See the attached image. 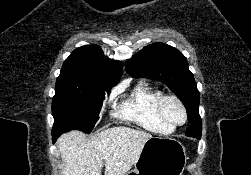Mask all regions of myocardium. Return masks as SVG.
Segmentation results:
<instances>
[{"label": "myocardium", "instance_id": "myocardium-1", "mask_svg": "<svg viewBox=\"0 0 251 175\" xmlns=\"http://www.w3.org/2000/svg\"><path fill=\"white\" fill-rule=\"evenodd\" d=\"M168 100H175L182 107L184 114H185V119L181 124L172 125L165 117L164 112H163V107H164L165 102ZM155 110H156V114H157L159 120L163 124H165L166 126L171 128L172 130H178V129L182 128L183 126H185L187 124V122L189 120V111H188L187 106L185 105V103L183 102V100L180 97H178L177 95H174V94H162L155 104Z\"/></svg>", "mask_w": 251, "mask_h": 175}]
</instances>
